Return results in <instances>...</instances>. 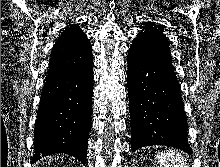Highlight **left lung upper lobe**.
<instances>
[{
  "instance_id": "left-lung-upper-lobe-1",
  "label": "left lung upper lobe",
  "mask_w": 220,
  "mask_h": 167,
  "mask_svg": "<svg viewBox=\"0 0 220 167\" xmlns=\"http://www.w3.org/2000/svg\"><path fill=\"white\" fill-rule=\"evenodd\" d=\"M138 53H153L171 57L167 38L161 28L154 24H147L136 36L130 47Z\"/></svg>"
}]
</instances>
